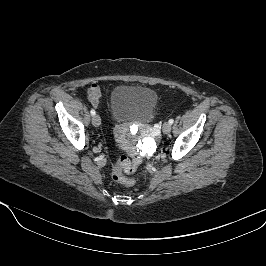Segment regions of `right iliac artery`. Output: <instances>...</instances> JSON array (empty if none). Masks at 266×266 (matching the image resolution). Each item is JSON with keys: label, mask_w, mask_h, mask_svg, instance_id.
<instances>
[{"label": "right iliac artery", "mask_w": 266, "mask_h": 266, "mask_svg": "<svg viewBox=\"0 0 266 266\" xmlns=\"http://www.w3.org/2000/svg\"><path fill=\"white\" fill-rule=\"evenodd\" d=\"M90 113H91L92 116H94V115L96 114V112H95L94 109H92V110L90 111Z\"/></svg>", "instance_id": "82829eb1"}]
</instances>
